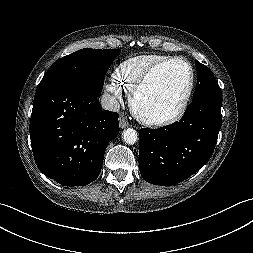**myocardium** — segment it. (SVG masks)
Masks as SVG:
<instances>
[{
  "mask_svg": "<svg viewBox=\"0 0 253 253\" xmlns=\"http://www.w3.org/2000/svg\"><path fill=\"white\" fill-rule=\"evenodd\" d=\"M173 62H182L184 63L188 69H189V74H190V78H189V85L187 88V91L185 93V95L183 96V99L178 107V109L173 112L172 114L168 115V116H164V117H153V116H148L145 115L144 113H142L138 107V98L141 94V92L143 91V89L145 88V86L147 85V83L149 82L150 78L153 76V74L159 70L160 68L171 64ZM195 70L193 65L191 64V62L189 60H187L184 57H171L165 60H162L160 62H157L155 64H153L152 66H150L145 72L144 74L141 76V78L139 79V81L137 82V84L135 85L132 93H131V97H130V105H131V109L132 112L134 113V115L144 124L149 125V126H167V125H171L177 121H179L185 114L189 102L191 100L193 91H194V87H195Z\"/></svg>",
  "mask_w": 253,
  "mask_h": 253,
  "instance_id": "f54148a6",
  "label": "myocardium"
}]
</instances>
